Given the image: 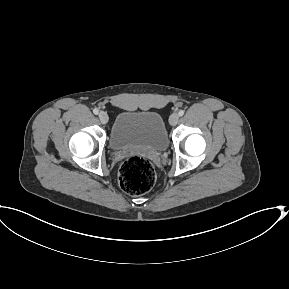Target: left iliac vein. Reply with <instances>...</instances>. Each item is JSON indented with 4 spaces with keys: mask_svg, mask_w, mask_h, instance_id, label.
<instances>
[{
    "mask_svg": "<svg viewBox=\"0 0 289 289\" xmlns=\"http://www.w3.org/2000/svg\"><path fill=\"white\" fill-rule=\"evenodd\" d=\"M179 121V115L177 113H173L171 114V116L169 117V123L172 126H175Z\"/></svg>",
    "mask_w": 289,
    "mask_h": 289,
    "instance_id": "left-iliac-vein-1",
    "label": "left iliac vein"
}]
</instances>
